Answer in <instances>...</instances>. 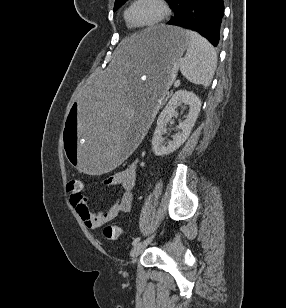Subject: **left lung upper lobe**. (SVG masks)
Wrapping results in <instances>:
<instances>
[{"mask_svg":"<svg viewBox=\"0 0 286 308\" xmlns=\"http://www.w3.org/2000/svg\"><path fill=\"white\" fill-rule=\"evenodd\" d=\"M127 0H115L114 11H116L122 4H124ZM170 6L172 0H166Z\"/></svg>","mask_w":286,"mask_h":308,"instance_id":"left-lung-upper-lobe-1","label":"left lung upper lobe"}]
</instances>
